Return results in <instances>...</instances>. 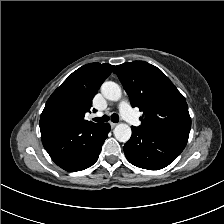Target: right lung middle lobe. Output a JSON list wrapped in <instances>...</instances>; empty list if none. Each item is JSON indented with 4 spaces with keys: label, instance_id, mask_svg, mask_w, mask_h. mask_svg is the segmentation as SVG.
Instances as JSON below:
<instances>
[{
    "label": "right lung middle lobe",
    "instance_id": "right-lung-middle-lobe-1",
    "mask_svg": "<svg viewBox=\"0 0 224 224\" xmlns=\"http://www.w3.org/2000/svg\"><path fill=\"white\" fill-rule=\"evenodd\" d=\"M44 118H51L61 121H67V115L65 110L60 106H54L51 109H49L45 115Z\"/></svg>",
    "mask_w": 224,
    "mask_h": 224
}]
</instances>
